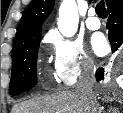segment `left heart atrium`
Instances as JSON below:
<instances>
[{
  "mask_svg": "<svg viewBox=\"0 0 123 113\" xmlns=\"http://www.w3.org/2000/svg\"><path fill=\"white\" fill-rule=\"evenodd\" d=\"M91 45L94 53L103 56L108 52L109 46L103 34H95L91 38Z\"/></svg>",
  "mask_w": 123,
  "mask_h": 113,
  "instance_id": "left-heart-atrium-1",
  "label": "left heart atrium"
}]
</instances>
